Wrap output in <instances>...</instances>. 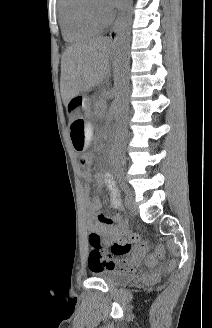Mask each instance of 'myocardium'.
<instances>
[{
    "instance_id": "myocardium-1",
    "label": "myocardium",
    "mask_w": 212,
    "mask_h": 328,
    "mask_svg": "<svg viewBox=\"0 0 212 328\" xmlns=\"http://www.w3.org/2000/svg\"><path fill=\"white\" fill-rule=\"evenodd\" d=\"M87 13L89 17L95 21L96 23L100 25H107L111 22L112 20V13L107 12V11H102L96 6V0H87Z\"/></svg>"
}]
</instances>
